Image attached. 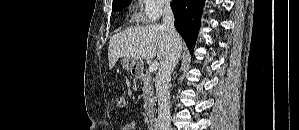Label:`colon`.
I'll return each instance as SVG.
<instances>
[{"label":"colon","mask_w":299,"mask_h":130,"mask_svg":"<svg viewBox=\"0 0 299 130\" xmlns=\"http://www.w3.org/2000/svg\"><path fill=\"white\" fill-rule=\"evenodd\" d=\"M117 105L119 108H125L127 106V99L124 95H120L117 98Z\"/></svg>","instance_id":"obj_1"}]
</instances>
